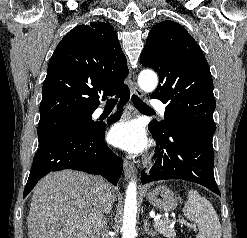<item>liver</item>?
Segmentation results:
<instances>
[{
  "label": "liver",
  "instance_id": "liver-1",
  "mask_svg": "<svg viewBox=\"0 0 247 238\" xmlns=\"http://www.w3.org/2000/svg\"><path fill=\"white\" fill-rule=\"evenodd\" d=\"M95 177L73 170L52 172L36 185L27 219L29 238H92ZM115 194L106 189L105 212Z\"/></svg>",
  "mask_w": 247,
  "mask_h": 238
}]
</instances>
